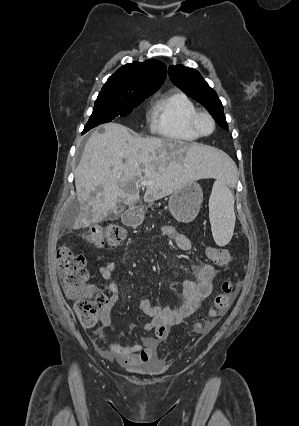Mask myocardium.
I'll list each match as a JSON object with an SVG mask.
<instances>
[{
	"label": "myocardium",
	"instance_id": "myocardium-1",
	"mask_svg": "<svg viewBox=\"0 0 299 426\" xmlns=\"http://www.w3.org/2000/svg\"><path fill=\"white\" fill-rule=\"evenodd\" d=\"M202 118H207L212 124V130L208 133L203 132L202 129L200 128V120ZM190 125H191L192 130L200 137L210 136L216 130V121H215L213 115L206 110H197L193 114V116L191 117Z\"/></svg>",
	"mask_w": 299,
	"mask_h": 426
}]
</instances>
